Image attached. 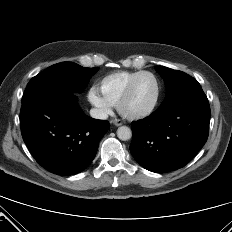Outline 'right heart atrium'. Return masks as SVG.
<instances>
[{
  "label": "right heart atrium",
  "mask_w": 232,
  "mask_h": 232,
  "mask_svg": "<svg viewBox=\"0 0 232 232\" xmlns=\"http://www.w3.org/2000/svg\"><path fill=\"white\" fill-rule=\"evenodd\" d=\"M87 97L100 116L105 117L112 112V105L104 99L95 87L89 89Z\"/></svg>",
  "instance_id": "right-heart-atrium-1"
}]
</instances>
